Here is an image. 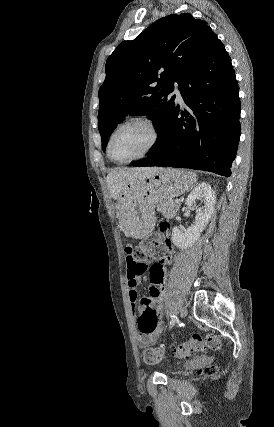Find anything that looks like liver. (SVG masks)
<instances>
[{"instance_id": "liver-1", "label": "liver", "mask_w": 274, "mask_h": 427, "mask_svg": "<svg viewBox=\"0 0 274 427\" xmlns=\"http://www.w3.org/2000/svg\"><path fill=\"white\" fill-rule=\"evenodd\" d=\"M159 170H163V168H124V170L117 168V170H113V172H110L107 176L110 196H112L114 200L127 202L136 192V182L143 180L146 176L156 174ZM128 186H132V188H128Z\"/></svg>"}]
</instances>
